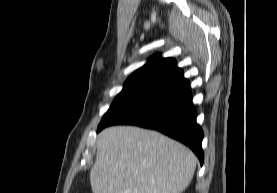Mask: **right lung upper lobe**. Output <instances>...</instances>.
Segmentation results:
<instances>
[{
	"label": "right lung upper lobe",
	"instance_id": "right-lung-upper-lobe-1",
	"mask_svg": "<svg viewBox=\"0 0 277 193\" xmlns=\"http://www.w3.org/2000/svg\"><path fill=\"white\" fill-rule=\"evenodd\" d=\"M181 80H184L183 71L176 61L156 54L127 79L123 90L149 94Z\"/></svg>",
	"mask_w": 277,
	"mask_h": 193
}]
</instances>
